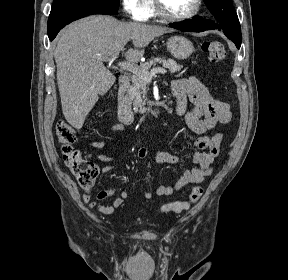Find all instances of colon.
<instances>
[{"instance_id":"1","label":"colon","mask_w":288,"mask_h":280,"mask_svg":"<svg viewBox=\"0 0 288 280\" xmlns=\"http://www.w3.org/2000/svg\"><path fill=\"white\" fill-rule=\"evenodd\" d=\"M202 50L208 55L212 63L222 62L226 56L225 48L219 41H205L202 44ZM56 134L61 145V152L66 166L75 176L79 185L86 190H90L98 176V167L94 162L84 158L81 153L74 148L76 132L67 122L62 120L57 123ZM202 193V187L195 186L192 188L187 200L164 204L160 212L180 213L185 211L200 199Z\"/></svg>"}]
</instances>
